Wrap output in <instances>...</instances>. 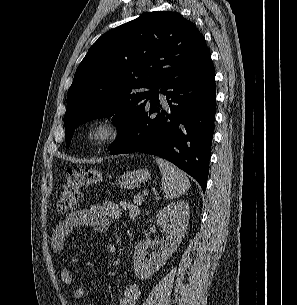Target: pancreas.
Here are the masks:
<instances>
[{
    "instance_id": "pancreas-1",
    "label": "pancreas",
    "mask_w": 297,
    "mask_h": 305,
    "mask_svg": "<svg viewBox=\"0 0 297 305\" xmlns=\"http://www.w3.org/2000/svg\"><path fill=\"white\" fill-rule=\"evenodd\" d=\"M144 199L141 195H136L133 198V202L128 203L124 206V209L128 211L129 217L132 220H136L140 212V206L142 205Z\"/></svg>"
}]
</instances>
